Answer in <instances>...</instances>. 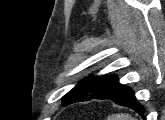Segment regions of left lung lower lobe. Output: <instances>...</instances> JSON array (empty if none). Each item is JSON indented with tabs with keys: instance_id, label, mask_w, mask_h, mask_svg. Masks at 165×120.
<instances>
[{
	"instance_id": "left-lung-lower-lobe-1",
	"label": "left lung lower lobe",
	"mask_w": 165,
	"mask_h": 120,
	"mask_svg": "<svg viewBox=\"0 0 165 120\" xmlns=\"http://www.w3.org/2000/svg\"><path fill=\"white\" fill-rule=\"evenodd\" d=\"M104 99H110L116 104L129 107L143 116V107L135 101L133 91L125 85H121L116 91Z\"/></svg>"
}]
</instances>
